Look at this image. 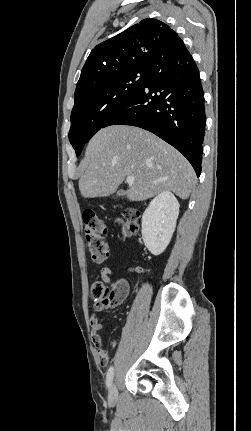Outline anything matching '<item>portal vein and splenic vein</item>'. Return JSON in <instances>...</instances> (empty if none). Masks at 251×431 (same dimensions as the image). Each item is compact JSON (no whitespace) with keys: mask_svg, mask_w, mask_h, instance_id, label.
I'll return each instance as SVG.
<instances>
[{"mask_svg":"<svg viewBox=\"0 0 251 431\" xmlns=\"http://www.w3.org/2000/svg\"><path fill=\"white\" fill-rule=\"evenodd\" d=\"M134 181H135V178H134L133 176H128V177L126 178V182H127L129 185L133 184V183H134Z\"/></svg>","mask_w":251,"mask_h":431,"instance_id":"obj_1","label":"portal vein and splenic vein"}]
</instances>
